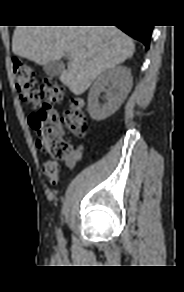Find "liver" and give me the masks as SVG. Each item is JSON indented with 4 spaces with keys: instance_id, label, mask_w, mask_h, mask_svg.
<instances>
[{
    "instance_id": "obj_1",
    "label": "liver",
    "mask_w": 184,
    "mask_h": 292,
    "mask_svg": "<svg viewBox=\"0 0 184 292\" xmlns=\"http://www.w3.org/2000/svg\"><path fill=\"white\" fill-rule=\"evenodd\" d=\"M12 51L39 65L71 54L60 81L80 95L102 72L131 58L135 46L115 26H17Z\"/></svg>"
}]
</instances>
